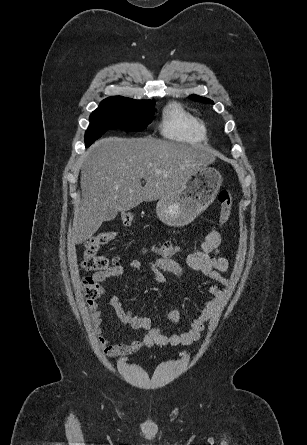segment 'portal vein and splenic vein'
<instances>
[{"label": "portal vein and splenic vein", "instance_id": "obj_1", "mask_svg": "<svg viewBox=\"0 0 307 445\" xmlns=\"http://www.w3.org/2000/svg\"><path fill=\"white\" fill-rule=\"evenodd\" d=\"M162 172H165V170H156V174H162Z\"/></svg>", "mask_w": 307, "mask_h": 445}]
</instances>
